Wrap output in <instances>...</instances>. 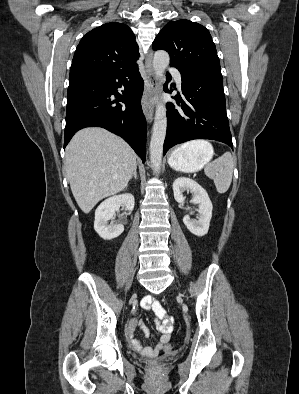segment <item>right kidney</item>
I'll return each instance as SVG.
<instances>
[{
    "label": "right kidney",
    "instance_id": "right-kidney-1",
    "mask_svg": "<svg viewBox=\"0 0 299 394\" xmlns=\"http://www.w3.org/2000/svg\"><path fill=\"white\" fill-rule=\"evenodd\" d=\"M135 199L130 193L116 195L103 201L95 211L94 229L98 235L104 240H111L118 237L123 231L122 224H108V220L112 219L115 211L120 206L131 212L134 209Z\"/></svg>",
    "mask_w": 299,
    "mask_h": 394
}]
</instances>
